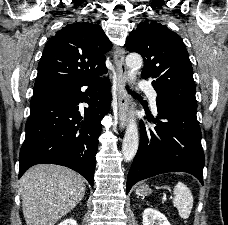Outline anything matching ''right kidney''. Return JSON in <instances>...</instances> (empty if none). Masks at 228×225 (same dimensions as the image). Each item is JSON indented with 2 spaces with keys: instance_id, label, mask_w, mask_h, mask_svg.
I'll return each instance as SVG.
<instances>
[{
  "instance_id": "ca27d5eb",
  "label": "right kidney",
  "mask_w": 228,
  "mask_h": 225,
  "mask_svg": "<svg viewBox=\"0 0 228 225\" xmlns=\"http://www.w3.org/2000/svg\"><path fill=\"white\" fill-rule=\"evenodd\" d=\"M60 225H77L76 221L74 219H65V221H62Z\"/></svg>"
}]
</instances>
